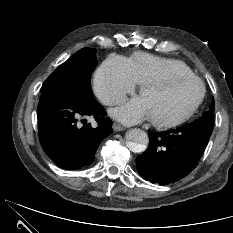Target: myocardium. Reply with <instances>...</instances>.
Listing matches in <instances>:
<instances>
[{
	"instance_id": "1",
	"label": "myocardium",
	"mask_w": 233,
	"mask_h": 233,
	"mask_svg": "<svg viewBox=\"0 0 233 233\" xmlns=\"http://www.w3.org/2000/svg\"><path fill=\"white\" fill-rule=\"evenodd\" d=\"M184 80H194L198 83L200 87V94H199L198 99L196 100V102L193 104V106L190 108V110L187 113H185L183 116H181L180 118L176 120L167 121V122H159V121H155L149 118L154 126L158 128H163V129L174 128L179 125H182L183 123L191 119L194 116V114L198 111L199 107L201 106V104L203 103L205 99V96H206L205 85L202 79L199 76L195 75L194 73L175 75V76L161 75L147 82H144L143 84L140 85L139 95L141 96V94L147 89L159 88L164 85H168L171 83L184 81Z\"/></svg>"
}]
</instances>
